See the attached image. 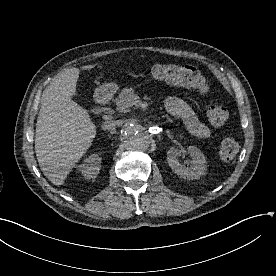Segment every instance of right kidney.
<instances>
[{
  "label": "right kidney",
  "mask_w": 276,
  "mask_h": 276,
  "mask_svg": "<svg viewBox=\"0 0 276 276\" xmlns=\"http://www.w3.org/2000/svg\"><path fill=\"white\" fill-rule=\"evenodd\" d=\"M101 158L97 154H93L86 158L77 169L86 179H95L99 174Z\"/></svg>",
  "instance_id": "right-kidney-1"
}]
</instances>
